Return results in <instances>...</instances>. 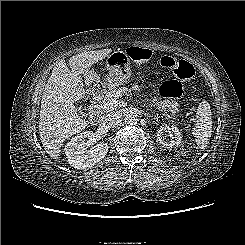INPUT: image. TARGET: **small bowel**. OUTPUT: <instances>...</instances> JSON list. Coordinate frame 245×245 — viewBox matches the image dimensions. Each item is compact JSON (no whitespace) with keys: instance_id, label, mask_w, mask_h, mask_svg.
<instances>
[{"instance_id":"small-bowel-1","label":"small bowel","mask_w":245,"mask_h":245,"mask_svg":"<svg viewBox=\"0 0 245 245\" xmlns=\"http://www.w3.org/2000/svg\"><path fill=\"white\" fill-rule=\"evenodd\" d=\"M134 89H137V86H134Z\"/></svg>"}]
</instances>
